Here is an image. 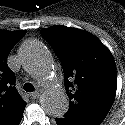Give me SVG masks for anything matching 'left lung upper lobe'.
Listing matches in <instances>:
<instances>
[{
  "label": "left lung upper lobe",
  "instance_id": "1",
  "mask_svg": "<svg viewBox=\"0 0 125 125\" xmlns=\"http://www.w3.org/2000/svg\"><path fill=\"white\" fill-rule=\"evenodd\" d=\"M40 32L63 66L70 99L64 117L100 125L116 95L117 72L111 52L84 30L56 25Z\"/></svg>",
  "mask_w": 125,
  "mask_h": 125
}]
</instances>
